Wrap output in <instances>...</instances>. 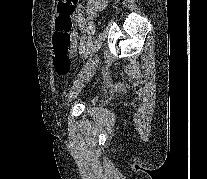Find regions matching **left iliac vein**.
<instances>
[{"label": "left iliac vein", "mask_w": 207, "mask_h": 179, "mask_svg": "<svg viewBox=\"0 0 207 179\" xmlns=\"http://www.w3.org/2000/svg\"><path fill=\"white\" fill-rule=\"evenodd\" d=\"M98 62V57H95V59L92 60V63L88 65V68L83 73V75L76 80L67 96L68 102H71L80 93L81 89L86 85V83L92 78L98 67Z\"/></svg>", "instance_id": "left-iliac-vein-1"}]
</instances>
